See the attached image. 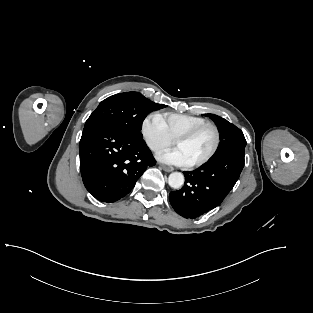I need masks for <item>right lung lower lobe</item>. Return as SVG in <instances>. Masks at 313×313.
<instances>
[{"label": "right lung lower lobe", "instance_id": "1", "mask_svg": "<svg viewBox=\"0 0 313 313\" xmlns=\"http://www.w3.org/2000/svg\"><path fill=\"white\" fill-rule=\"evenodd\" d=\"M79 154L86 189L107 203L126 196L147 167L156 164L143 139L110 125L83 131Z\"/></svg>", "mask_w": 313, "mask_h": 313}]
</instances>
